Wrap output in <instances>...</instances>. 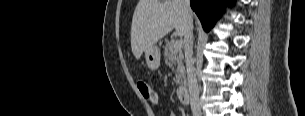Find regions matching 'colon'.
<instances>
[{
    "label": "colon",
    "mask_w": 305,
    "mask_h": 116,
    "mask_svg": "<svg viewBox=\"0 0 305 116\" xmlns=\"http://www.w3.org/2000/svg\"><path fill=\"white\" fill-rule=\"evenodd\" d=\"M137 88L142 98L152 106L159 115H165L164 106L159 98L157 92L152 88L148 81L139 79L137 81Z\"/></svg>",
    "instance_id": "5ec220e1"
}]
</instances>
